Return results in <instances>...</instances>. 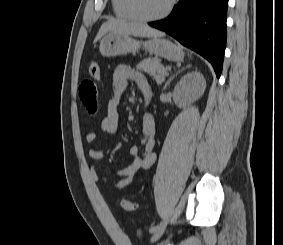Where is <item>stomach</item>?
<instances>
[{
  "label": "stomach",
  "mask_w": 283,
  "mask_h": 245,
  "mask_svg": "<svg viewBox=\"0 0 283 245\" xmlns=\"http://www.w3.org/2000/svg\"><path fill=\"white\" fill-rule=\"evenodd\" d=\"M143 47L150 54L171 61H182L184 52L169 40L153 37L147 41H138L128 34L109 33L100 42V53L105 57H114L127 53H136Z\"/></svg>",
  "instance_id": "obj_1"
}]
</instances>
